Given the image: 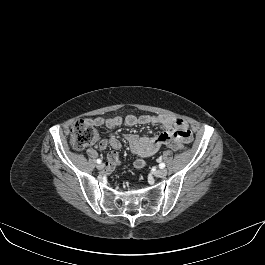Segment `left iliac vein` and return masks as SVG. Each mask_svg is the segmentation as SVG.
<instances>
[{"label": "left iliac vein", "mask_w": 265, "mask_h": 265, "mask_svg": "<svg viewBox=\"0 0 265 265\" xmlns=\"http://www.w3.org/2000/svg\"><path fill=\"white\" fill-rule=\"evenodd\" d=\"M154 175L158 178L164 177L167 175V170L166 169H158L155 171Z\"/></svg>", "instance_id": "obj_1"}]
</instances>
